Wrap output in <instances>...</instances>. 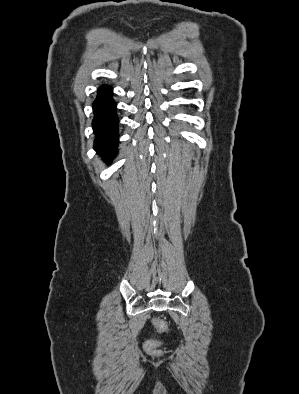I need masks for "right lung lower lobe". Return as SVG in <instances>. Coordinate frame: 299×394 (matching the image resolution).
Instances as JSON below:
<instances>
[{"instance_id": "98d812e1", "label": "right lung lower lobe", "mask_w": 299, "mask_h": 394, "mask_svg": "<svg viewBox=\"0 0 299 394\" xmlns=\"http://www.w3.org/2000/svg\"><path fill=\"white\" fill-rule=\"evenodd\" d=\"M94 119L92 126L96 139L94 149L105 160L112 159L117 153L118 117L116 103L112 99V88L102 85L93 103Z\"/></svg>"}]
</instances>
